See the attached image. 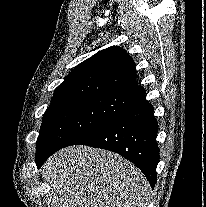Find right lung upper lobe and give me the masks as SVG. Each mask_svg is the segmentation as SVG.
<instances>
[{
	"mask_svg": "<svg viewBox=\"0 0 206 207\" xmlns=\"http://www.w3.org/2000/svg\"><path fill=\"white\" fill-rule=\"evenodd\" d=\"M137 87L133 59L118 46L97 52L74 68L52 101L81 97L127 96Z\"/></svg>",
	"mask_w": 206,
	"mask_h": 207,
	"instance_id": "cb5924a9",
	"label": "right lung upper lobe"
}]
</instances>
